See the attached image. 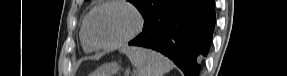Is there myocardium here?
I'll return each instance as SVG.
<instances>
[{"label": "myocardium", "mask_w": 287, "mask_h": 76, "mask_svg": "<svg viewBox=\"0 0 287 76\" xmlns=\"http://www.w3.org/2000/svg\"><path fill=\"white\" fill-rule=\"evenodd\" d=\"M109 6H122L127 8L134 16L135 18V24L133 26V28L124 36H122L121 38L117 39L114 42L111 43H107V44H101L96 42L90 33V21L92 16L100 9H103L105 7H109ZM144 27V17L142 15V13L140 12V10L131 2L126 1V0H109L106 2H103L97 6H95L86 16L85 21H84V33L85 36L88 40V42L91 44V46L94 49H101V50H109V49H114L117 48L121 45H123L124 43L129 42L130 40H132L133 38H135L143 29Z\"/></svg>", "instance_id": "f54148a6"}]
</instances>
